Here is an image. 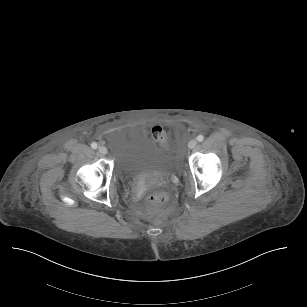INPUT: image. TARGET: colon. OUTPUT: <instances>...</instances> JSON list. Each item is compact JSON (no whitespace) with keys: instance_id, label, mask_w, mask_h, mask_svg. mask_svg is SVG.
<instances>
[{"instance_id":"5ec220e1","label":"colon","mask_w":307,"mask_h":307,"mask_svg":"<svg viewBox=\"0 0 307 307\" xmlns=\"http://www.w3.org/2000/svg\"><path fill=\"white\" fill-rule=\"evenodd\" d=\"M151 137L159 141L164 148L170 147L169 141L160 126L152 128ZM146 201L150 205L164 206L168 202V195L164 191L150 190L146 194Z\"/></svg>"}]
</instances>
